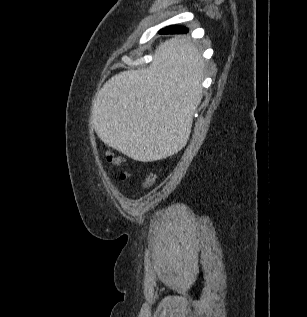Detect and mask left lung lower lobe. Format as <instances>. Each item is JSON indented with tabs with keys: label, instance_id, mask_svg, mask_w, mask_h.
<instances>
[{
	"label": "left lung lower lobe",
	"instance_id": "obj_1",
	"mask_svg": "<svg viewBox=\"0 0 307 317\" xmlns=\"http://www.w3.org/2000/svg\"><path fill=\"white\" fill-rule=\"evenodd\" d=\"M189 30L186 27L178 26L172 27L167 26L159 31V34H186ZM182 41H176V43H181Z\"/></svg>",
	"mask_w": 307,
	"mask_h": 317
}]
</instances>
